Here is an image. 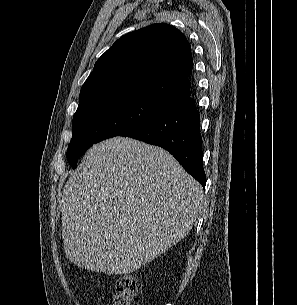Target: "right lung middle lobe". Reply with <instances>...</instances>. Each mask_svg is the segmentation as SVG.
I'll return each mask as SVG.
<instances>
[{
    "instance_id": "right-lung-middle-lobe-1",
    "label": "right lung middle lobe",
    "mask_w": 297,
    "mask_h": 305,
    "mask_svg": "<svg viewBox=\"0 0 297 305\" xmlns=\"http://www.w3.org/2000/svg\"><path fill=\"white\" fill-rule=\"evenodd\" d=\"M172 103L148 95L112 96L77 109L67 160L72 168L93 144L134 129L167 109Z\"/></svg>"
}]
</instances>
